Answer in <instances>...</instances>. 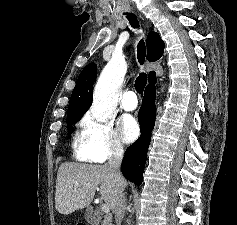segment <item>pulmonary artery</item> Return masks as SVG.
<instances>
[{"label":"pulmonary artery","instance_id":"1","mask_svg":"<svg viewBox=\"0 0 237 225\" xmlns=\"http://www.w3.org/2000/svg\"><path fill=\"white\" fill-rule=\"evenodd\" d=\"M138 101L133 91H127L121 99V107L126 111H133L137 108Z\"/></svg>","mask_w":237,"mask_h":225}]
</instances>
